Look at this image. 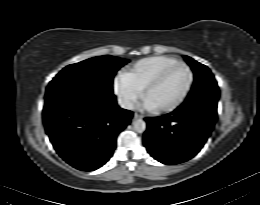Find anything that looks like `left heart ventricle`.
Here are the masks:
<instances>
[{"instance_id": "obj_1", "label": "left heart ventricle", "mask_w": 260, "mask_h": 205, "mask_svg": "<svg viewBox=\"0 0 260 205\" xmlns=\"http://www.w3.org/2000/svg\"><path fill=\"white\" fill-rule=\"evenodd\" d=\"M189 81L186 68L176 66L168 71L165 76L148 92L146 100L155 107L166 106L174 102L185 90Z\"/></svg>"}]
</instances>
